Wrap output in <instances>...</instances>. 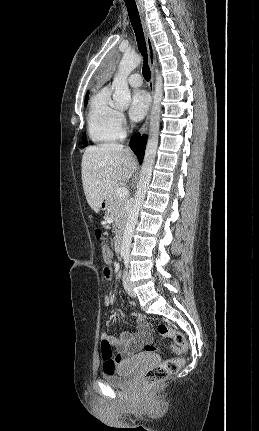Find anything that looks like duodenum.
<instances>
[{
  "mask_svg": "<svg viewBox=\"0 0 259 431\" xmlns=\"http://www.w3.org/2000/svg\"><path fill=\"white\" fill-rule=\"evenodd\" d=\"M122 243H123V236H122V234H121V233H118V234L116 235V237H115V244H114L115 251H116L117 253H120V252H121V249H122Z\"/></svg>",
  "mask_w": 259,
  "mask_h": 431,
  "instance_id": "410a0bca",
  "label": "duodenum"
}]
</instances>
